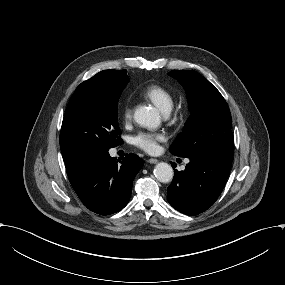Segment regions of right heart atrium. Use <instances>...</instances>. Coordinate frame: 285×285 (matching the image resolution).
I'll return each mask as SVG.
<instances>
[{
  "label": "right heart atrium",
  "mask_w": 285,
  "mask_h": 285,
  "mask_svg": "<svg viewBox=\"0 0 285 285\" xmlns=\"http://www.w3.org/2000/svg\"><path fill=\"white\" fill-rule=\"evenodd\" d=\"M134 106V102L129 98L125 99L122 103L121 114L125 121H129L131 119Z\"/></svg>",
  "instance_id": "1"
}]
</instances>
